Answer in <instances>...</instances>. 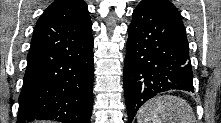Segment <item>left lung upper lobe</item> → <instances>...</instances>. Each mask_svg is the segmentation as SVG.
Here are the masks:
<instances>
[{
  "mask_svg": "<svg viewBox=\"0 0 221 123\" xmlns=\"http://www.w3.org/2000/svg\"><path fill=\"white\" fill-rule=\"evenodd\" d=\"M148 2L151 6H153L158 11L162 12L165 15H168L180 22L181 16L180 13L177 11L175 6L168 0H144Z\"/></svg>",
  "mask_w": 221,
  "mask_h": 123,
  "instance_id": "left-lung-upper-lobe-1",
  "label": "left lung upper lobe"
}]
</instances>
